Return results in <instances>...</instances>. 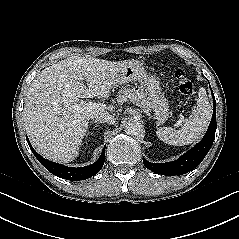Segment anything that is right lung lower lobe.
Wrapping results in <instances>:
<instances>
[{"instance_id": "obj_1", "label": "right lung lower lobe", "mask_w": 239, "mask_h": 239, "mask_svg": "<svg viewBox=\"0 0 239 239\" xmlns=\"http://www.w3.org/2000/svg\"><path fill=\"white\" fill-rule=\"evenodd\" d=\"M27 142L29 144V147L35 157L38 159V161L53 175L58 176L60 178L66 179V180H73V181H79V180H85L92 176H94L96 173H98L101 168L104 165L105 160V147L103 149V152L98 159L97 162H95L92 165L86 166V167H79V168H72L67 167L55 162H51L42 156H40L31 146L28 137L26 136Z\"/></svg>"}]
</instances>
